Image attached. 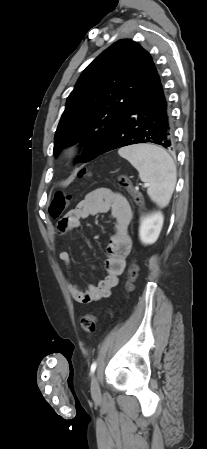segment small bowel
Returning <instances> with one entry per match:
<instances>
[{
    "label": "small bowel",
    "mask_w": 207,
    "mask_h": 449,
    "mask_svg": "<svg viewBox=\"0 0 207 449\" xmlns=\"http://www.w3.org/2000/svg\"><path fill=\"white\" fill-rule=\"evenodd\" d=\"M107 212L111 213L114 224L107 248L105 276L97 286H89L86 290L80 288L72 279L67 282L73 298L82 304H88L109 296L111 290L118 284L119 276L125 269L126 260L132 247L130 236L132 209L123 195L108 188H99L88 193L58 223L60 233L65 234L77 229L81 220L88 216ZM59 258L68 268L70 267L71 256L67 251H61Z\"/></svg>",
    "instance_id": "c3829d8e"
}]
</instances>
